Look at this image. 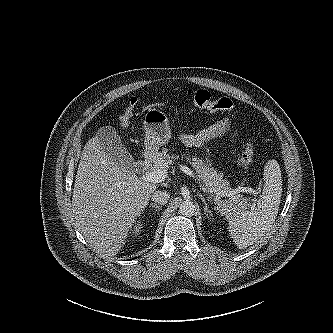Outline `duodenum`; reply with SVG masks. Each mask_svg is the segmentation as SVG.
Here are the masks:
<instances>
[{
  "label": "duodenum",
  "instance_id": "1",
  "mask_svg": "<svg viewBox=\"0 0 333 333\" xmlns=\"http://www.w3.org/2000/svg\"><path fill=\"white\" fill-rule=\"evenodd\" d=\"M153 157L151 152L145 153L144 157L138 162L137 169L139 171L147 170L153 162Z\"/></svg>",
  "mask_w": 333,
  "mask_h": 333
}]
</instances>
